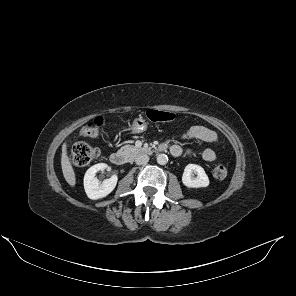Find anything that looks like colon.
<instances>
[{
  "instance_id": "colon-1",
  "label": "colon",
  "mask_w": 296,
  "mask_h": 296,
  "mask_svg": "<svg viewBox=\"0 0 296 296\" xmlns=\"http://www.w3.org/2000/svg\"><path fill=\"white\" fill-rule=\"evenodd\" d=\"M147 118L152 122H170L175 119V114L168 111L148 110L146 112ZM102 118H96L87 123L81 130L84 137L94 138L98 135L99 127L102 124ZM99 151L97 148L89 145L86 142H76L69 154L70 162L75 166H86L93 162L98 157ZM214 177L223 179L227 175V168L224 165H217L213 169Z\"/></svg>"
}]
</instances>
